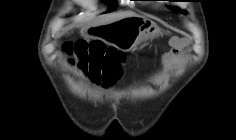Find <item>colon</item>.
<instances>
[{
	"mask_svg": "<svg viewBox=\"0 0 236 140\" xmlns=\"http://www.w3.org/2000/svg\"><path fill=\"white\" fill-rule=\"evenodd\" d=\"M64 48L71 62H79L83 69L105 84L114 82L121 74L122 54L100 40L80 39L66 43Z\"/></svg>",
	"mask_w": 236,
	"mask_h": 140,
	"instance_id": "1",
	"label": "colon"
}]
</instances>
